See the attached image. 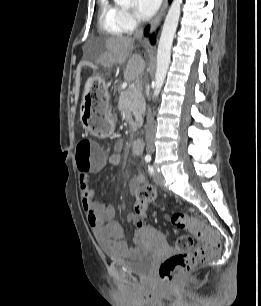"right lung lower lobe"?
Segmentation results:
<instances>
[{
    "label": "right lung lower lobe",
    "mask_w": 261,
    "mask_h": 306,
    "mask_svg": "<svg viewBox=\"0 0 261 306\" xmlns=\"http://www.w3.org/2000/svg\"><path fill=\"white\" fill-rule=\"evenodd\" d=\"M169 1H171V0H169ZM148 31H149V26H147V27L145 28L144 34L147 35V34H148ZM151 42H152L153 44L155 43V36H154V35L151 36Z\"/></svg>",
    "instance_id": "right-lung-lower-lobe-1"
}]
</instances>
